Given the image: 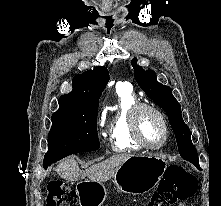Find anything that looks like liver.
<instances>
[{"mask_svg":"<svg viewBox=\"0 0 221 206\" xmlns=\"http://www.w3.org/2000/svg\"><path fill=\"white\" fill-rule=\"evenodd\" d=\"M131 155H113L110 158L92 165L86 170H81L74 157L65 159L56 167L58 175L69 181H78L88 177L92 181L104 182L113 178L117 169L130 157Z\"/></svg>","mask_w":221,"mask_h":206,"instance_id":"obj_1","label":"liver"}]
</instances>
